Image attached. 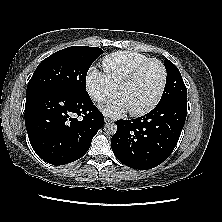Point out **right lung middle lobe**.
<instances>
[{
    "instance_id": "1",
    "label": "right lung middle lobe",
    "mask_w": 222,
    "mask_h": 222,
    "mask_svg": "<svg viewBox=\"0 0 222 222\" xmlns=\"http://www.w3.org/2000/svg\"><path fill=\"white\" fill-rule=\"evenodd\" d=\"M103 53L98 47L72 46L44 59L30 79L26 97L40 90L87 93L86 75L91 64Z\"/></svg>"
}]
</instances>
